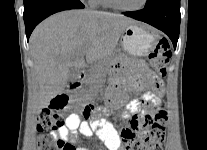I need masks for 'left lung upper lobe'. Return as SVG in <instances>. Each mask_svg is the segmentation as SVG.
<instances>
[{
	"label": "left lung upper lobe",
	"mask_w": 207,
	"mask_h": 150,
	"mask_svg": "<svg viewBox=\"0 0 207 150\" xmlns=\"http://www.w3.org/2000/svg\"><path fill=\"white\" fill-rule=\"evenodd\" d=\"M159 0H147L146 5L145 6H150L156 2H158Z\"/></svg>",
	"instance_id": "5c2ea615"
}]
</instances>
